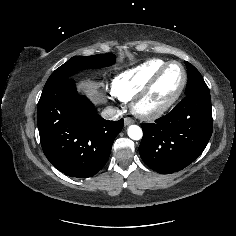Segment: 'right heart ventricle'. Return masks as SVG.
Returning <instances> with one entry per match:
<instances>
[{"label": "right heart ventricle", "instance_id": "e07e8e85", "mask_svg": "<svg viewBox=\"0 0 236 236\" xmlns=\"http://www.w3.org/2000/svg\"><path fill=\"white\" fill-rule=\"evenodd\" d=\"M166 63L161 59H152L120 73L112 83L113 94L121 101H130Z\"/></svg>", "mask_w": 236, "mask_h": 236}]
</instances>
